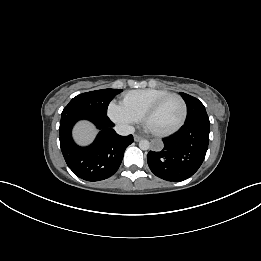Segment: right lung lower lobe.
Masks as SVG:
<instances>
[{"instance_id":"obj_1","label":"right lung lower lobe","mask_w":261,"mask_h":261,"mask_svg":"<svg viewBox=\"0 0 261 261\" xmlns=\"http://www.w3.org/2000/svg\"><path fill=\"white\" fill-rule=\"evenodd\" d=\"M81 119L91 121L100 130L95 141L87 147L76 145L71 136L74 124ZM113 126L106 115L76 109L63 110L59 128L60 146L68 167L76 176L86 181H100L118 170L133 136L118 135Z\"/></svg>"}]
</instances>
